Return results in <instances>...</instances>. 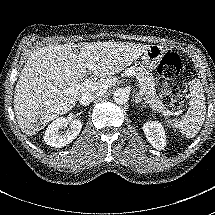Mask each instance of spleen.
I'll return each mask as SVG.
<instances>
[{"mask_svg": "<svg viewBox=\"0 0 215 215\" xmlns=\"http://www.w3.org/2000/svg\"><path fill=\"white\" fill-rule=\"evenodd\" d=\"M188 98L187 112L180 119L164 118L162 123L167 127L177 129L186 138H193L200 131L206 114L204 92L195 81H192Z\"/></svg>", "mask_w": 215, "mask_h": 215, "instance_id": "3e777b00", "label": "spleen"}]
</instances>
